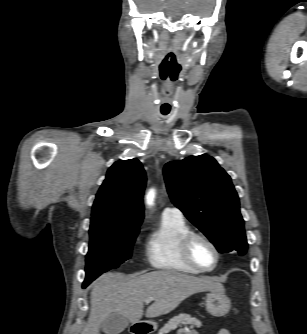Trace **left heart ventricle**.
<instances>
[{"instance_id":"1","label":"left heart ventricle","mask_w":307,"mask_h":334,"mask_svg":"<svg viewBox=\"0 0 307 334\" xmlns=\"http://www.w3.org/2000/svg\"><path fill=\"white\" fill-rule=\"evenodd\" d=\"M193 257L196 262L204 267L209 268L215 262V254L212 248L202 240H196L192 246Z\"/></svg>"}]
</instances>
